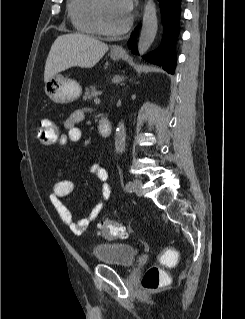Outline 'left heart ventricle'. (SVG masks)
I'll return each instance as SVG.
<instances>
[{
	"label": "left heart ventricle",
	"instance_id": "obj_1",
	"mask_svg": "<svg viewBox=\"0 0 245 319\" xmlns=\"http://www.w3.org/2000/svg\"><path fill=\"white\" fill-rule=\"evenodd\" d=\"M103 12L105 22L110 28H119L128 19L119 11L115 0H103Z\"/></svg>",
	"mask_w": 245,
	"mask_h": 319
}]
</instances>
